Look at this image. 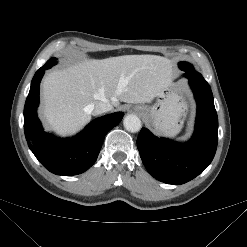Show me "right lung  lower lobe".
Instances as JSON below:
<instances>
[{"mask_svg": "<svg viewBox=\"0 0 247 247\" xmlns=\"http://www.w3.org/2000/svg\"><path fill=\"white\" fill-rule=\"evenodd\" d=\"M46 68L34 75L24 107V131L30 150L50 172L71 176L85 172L97 160L105 135L122 120L117 112L92 121L81 133L61 139L43 131L37 118L39 84Z\"/></svg>", "mask_w": 247, "mask_h": 247, "instance_id": "obj_1", "label": "right lung lower lobe"}]
</instances>
